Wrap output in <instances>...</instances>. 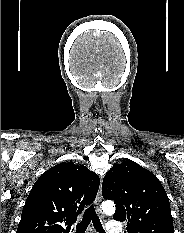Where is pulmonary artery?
<instances>
[{"mask_svg": "<svg viewBox=\"0 0 184 233\" xmlns=\"http://www.w3.org/2000/svg\"><path fill=\"white\" fill-rule=\"evenodd\" d=\"M106 232L107 233H123V228L121 223L117 221H109L106 224Z\"/></svg>", "mask_w": 184, "mask_h": 233, "instance_id": "pulmonary-artery-1", "label": "pulmonary artery"}]
</instances>
